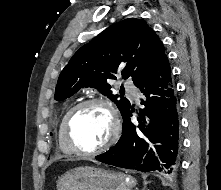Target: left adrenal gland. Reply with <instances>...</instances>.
<instances>
[{
  "label": "left adrenal gland",
  "instance_id": "1",
  "mask_svg": "<svg viewBox=\"0 0 221 190\" xmlns=\"http://www.w3.org/2000/svg\"><path fill=\"white\" fill-rule=\"evenodd\" d=\"M147 183H148V182L145 183L144 188H143L142 190H146V185H147Z\"/></svg>",
  "mask_w": 221,
  "mask_h": 190
}]
</instances>
